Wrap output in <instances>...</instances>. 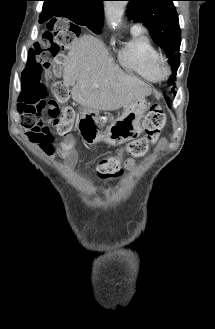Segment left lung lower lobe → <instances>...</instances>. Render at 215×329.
Instances as JSON below:
<instances>
[{"label":"left lung lower lobe","mask_w":215,"mask_h":329,"mask_svg":"<svg viewBox=\"0 0 215 329\" xmlns=\"http://www.w3.org/2000/svg\"><path fill=\"white\" fill-rule=\"evenodd\" d=\"M165 99H166L167 104L169 105V102H170L169 98L167 96H165Z\"/></svg>","instance_id":"0a47b994"}]
</instances>
